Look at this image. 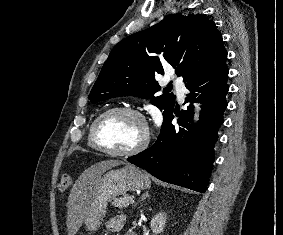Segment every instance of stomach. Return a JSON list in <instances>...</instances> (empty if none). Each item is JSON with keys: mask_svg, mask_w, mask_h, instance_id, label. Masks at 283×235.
<instances>
[{"mask_svg": "<svg viewBox=\"0 0 283 235\" xmlns=\"http://www.w3.org/2000/svg\"><path fill=\"white\" fill-rule=\"evenodd\" d=\"M150 187L148 176L133 165L106 172L95 185L86 209L85 225L90 232H95L101 225L108 203L127 191Z\"/></svg>", "mask_w": 283, "mask_h": 235, "instance_id": "obj_1", "label": "stomach"}]
</instances>
